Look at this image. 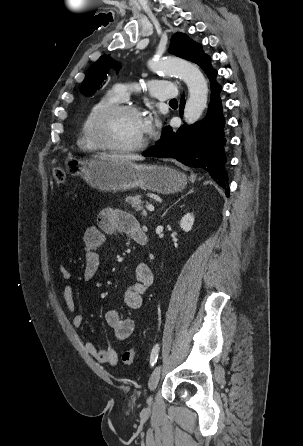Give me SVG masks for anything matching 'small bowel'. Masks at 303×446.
<instances>
[{"label":"small bowel","mask_w":303,"mask_h":446,"mask_svg":"<svg viewBox=\"0 0 303 446\" xmlns=\"http://www.w3.org/2000/svg\"><path fill=\"white\" fill-rule=\"evenodd\" d=\"M123 233L131 237L135 242L136 238L144 233L136 218L123 210L107 208L102 210L97 216V224L89 226L80 241L84 250V272L85 281L92 280L100 269L99 248L104 244L106 236ZM59 272L64 280L71 278L70 271L63 265L59 266ZM153 282V274L146 263H139L136 267L134 279L131 285L124 292V303L126 307L133 311L141 307L143 294ZM63 298L67 309L74 314L73 325L80 327L83 324V316L76 313L74 301V290L72 285L67 284L63 290ZM106 324L114 331L115 337L126 340L135 329L134 319L125 317L118 310H109L105 313ZM87 352L98 362L109 365H116L118 362L117 352L113 348H98L94 343L87 342L85 345Z\"/></svg>","instance_id":"1"}]
</instances>
